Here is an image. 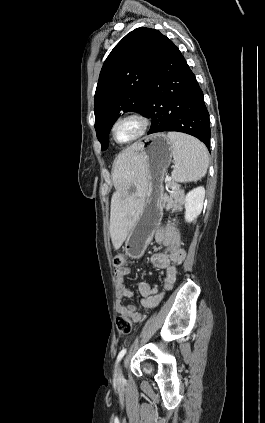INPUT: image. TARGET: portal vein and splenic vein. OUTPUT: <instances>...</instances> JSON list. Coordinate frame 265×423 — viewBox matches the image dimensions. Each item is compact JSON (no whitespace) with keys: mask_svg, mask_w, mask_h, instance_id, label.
Segmentation results:
<instances>
[{"mask_svg":"<svg viewBox=\"0 0 265 423\" xmlns=\"http://www.w3.org/2000/svg\"><path fill=\"white\" fill-rule=\"evenodd\" d=\"M169 181H171V178H167V179H166V182H169Z\"/></svg>","mask_w":265,"mask_h":423,"instance_id":"portal-vein-and-splenic-vein-1","label":"portal vein and splenic vein"}]
</instances>
